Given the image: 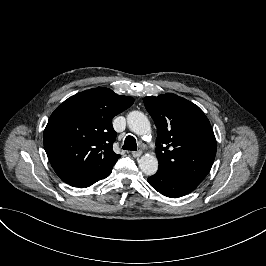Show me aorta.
Here are the masks:
<instances>
[{
    "label": "aorta",
    "instance_id": "762f6f07",
    "mask_svg": "<svg viewBox=\"0 0 266 266\" xmlns=\"http://www.w3.org/2000/svg\"><path fill=\"white\" fill-rule=\"evenodd\" d=\"M127 125L129 129L137 135H148L151 133L150 122L144 113L131 111L127 115ZM140 170L147 176L154 175L158 170V160L156 156L145 154L138 160Z\"/></svg>",
    "mask_w": 266,
    "mask_h": 266
}]
</instances>
